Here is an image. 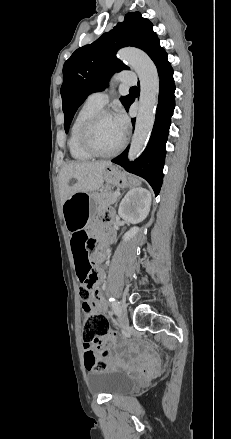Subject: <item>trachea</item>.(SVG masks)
<instances>
[{
	"label": "trachea",
	"mask_w": 231,
	"mask_h": 439,
	"mask_svg": "<svg viewBox=\"0 0 231 439\" xmlns=\"http://www.w3.org/2000/svg\"><path fill=\"white\" fill-rule=\"evenodd\" d=\"M136 89H137L136 86H133V87L130 88V90H136Z\"/></svg>",
	"instance_id": "obj_1"
}]
</instances>
